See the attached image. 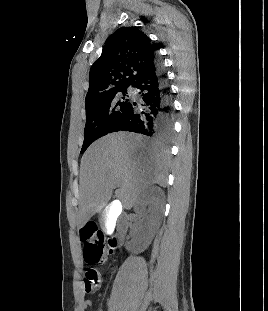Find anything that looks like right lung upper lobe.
<instances>
[{
    "label": "right lung upper lobe",
    "mask_w": 268,
    "mask_h": 311,
    "mask_svg": "<svg viewBox=\"0 0 268 311\" xmlns=\"http://www.w3.org/2000/svg\"><path fill=\"white\" fill-rule=\"evenodd\" d=\"M157 48L135 27H121L107 39L89 73L85 108L131 86L155 61Z\"/></svg>",
    "instance_id": "right-lung-upper-lobe-1"
}]
</instances>
